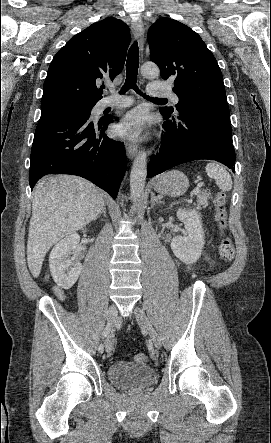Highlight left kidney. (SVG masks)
<instances>
[{"mask_svg":"<svg viewBox=\"0 0 271 443\" xmlns=\"http://www.w3.org/2000/svg\"><path fill=\"white\" fill-rule=\"evenodd\" d=\"M177 218L183 222L188 235H176L171 241V249L184 263H195L204 247V231L201 216L195 210H178Z\"/></svg>","mask_w":271,"mask_h":443,"instance_id":"5707ae66","label":"left kidney"}]
</instances>
